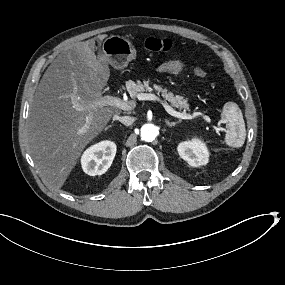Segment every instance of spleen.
<instances>
[{"label": "spleen", "mask_w": 285, "mask_h": 285, "mask_svg": "<svg viewBox=\"0 0 285 285\" xmlns=\"http://www.w3.org/2000/svg\"><path fill=\"white\" fill-rule=\"evenodd\" d=\"M245 139H246V129L245 127H243L240 131V139H239L241 147L243 146Z\"/></svg>", "instance_id": "3e777b00"}]
</instances>
